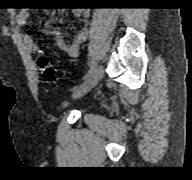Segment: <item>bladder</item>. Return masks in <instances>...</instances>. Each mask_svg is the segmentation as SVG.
I'll list each match as a JSON object with an SVG mask.
<instances>
[{
	"label": "bladder",
	"mask_w": 192,
	"mask_h": 180,
	"mask_svg": "<svg viewBox=\"0 0 192 180\" xmlns=\"http://www.w3.org/2000/svg\"><path fill=\"white\" fill-rule=\"evenodd\" d=\"M71 105V101L69 99H65L61 102V106L63 108L69 107Z\"/></svg>",
	"instance_id": "obj_1"
}]
</instances>
